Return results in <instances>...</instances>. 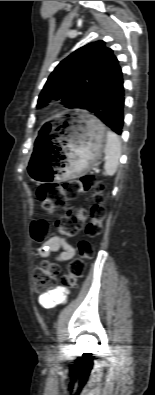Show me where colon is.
<instances>
[{
	"instance_id": "5ec220e1",
	"label": "colon",
	"mask_w": 155,
	"mask_h": 395,
	"mask_svg": "<svg viewBox=\"0 0 155 395\" xmlns=\"http://www.w3.org/2000/svg\"><path fill=\"white\" fill-rule=\"evenodd\" d=\"M92 188L96 190L95 202L89 211L83 208L71 209L59 219L57 228L61 236L71 238L82 229L89 237H96L101 234L106 217L102 195L104 185L102 182L95 181L94 176L86 174L61 183L43 184L38 188L37 197L41 207L47 213H52L56 208L64 205L67 200L74 199L79 194ZM30 233L35 242L43 241L47 233L46 222L43 220L34 221ZM78 248L79 257L69 264L63 278V288H74L77 285L83 274L85 262L94 256V247L90 241H80ZM58 271L56 264L43 261L33 274L35 291L41 294L50 291L55 284Z\"/></svg>"
}]
</instances>
